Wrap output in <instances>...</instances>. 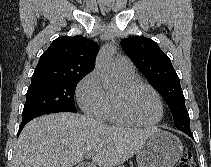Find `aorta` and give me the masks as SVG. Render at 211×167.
Instances as JSON below:
<instances>
[{"label":"aorta","instance_id":"762f6f07","mask_svg":"<svg viewBox=\"0 0 211 167\" xmlns=\"http://www.w3.org/2000/svg\"><path fill=\"white\" fill-rule=\"evenodd\" d=\"M114 51L115 49L112 45H105L101 48L96 58V69L101 74L102 84L106 90H110L115 84L111 71V59Z\"/></svg>","mask_w":211,"mask_h":167}]
</instances>
